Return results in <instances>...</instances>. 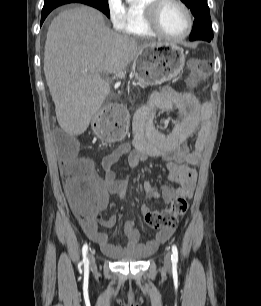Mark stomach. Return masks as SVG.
<instances>
[{
    "label": "stomach",
    "instance_id": "stomach-1",
    "mask_svg": "<svg viewBox=\"0 0 261 306\" xmlns=\"http://www.w3.org/2000/svg\"><path fill=\"white\" fill-rule=\"evenodd\" d=\"M184 64L183 48L164 42L140 51L134 59L133 67L140 85L147 87L172 80L182 71ZM92 128L97 135H101L97 115L92 120Z\"/></svg>",
    "mask_w": 261,
    "mask_h": 306
}]
</instances>
